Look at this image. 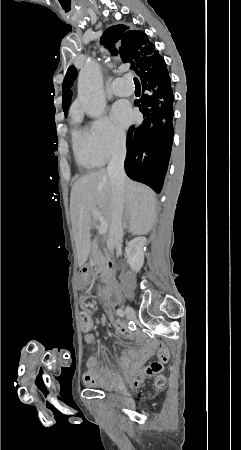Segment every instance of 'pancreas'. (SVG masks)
Wrapping results in <instances>:
<instances>
[{
    "label": "pancreas",
    "mask_w": 241,
    "mask_h": 450,
    "mask_svg": "<svg viewBox=\"0 0 241 450\" xmlns=\"http://www.w3.org/2000/svg\"><path fill=\"white\" fill-rule=\"evenodd\" d=\"M96 258L95 260H91V266H98V264H100V262H102V268H106V266H104V256L102 254V252H100V250H98L97 254H95ZM99 272H101L102 274V270H99ZM108 278H110V274L108 272V268H106V278H103V280H101V282H107Z\"/></svg>",
    "instance_id": "pancreas-1"
}]
</instances>
